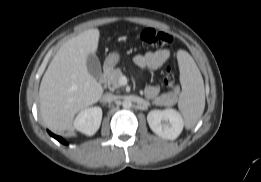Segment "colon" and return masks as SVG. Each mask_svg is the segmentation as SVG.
I'll list each match as a JSON object with an SVG mask.
<instances>
[{"mask_svg": "<svg viewBox=\"0 0 261 182\" xmlns=\"http://www.w3.org/2000/svg\"><path fill=\"white\" fill-rule=\"evenodd\" d=\"M139 39L144 44L154 48L165 47L172 42V37L168 33L158 31L153 28L143 29L139 34ZM174 83L175 81L172 69L170 66H167L165 69L164 84L166 87L172 88Z\"/></svg>", "mask_w": 261, "mask_h": 182, "instance_id": "obj_1", "label": "colon"}]
</instances>
